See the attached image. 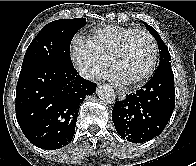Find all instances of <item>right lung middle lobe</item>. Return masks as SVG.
Returning a JSON list of instances; mask_svg holds the SVG:
<instances>
[{
    "label": "right lung middle lobe",
    "mask_w": 196,
    "mask_h": 166,
    "mask_svg": "<svg viewBox=\"0 0 196 166\" xmlns=\"http://www.w3.org/2000/svg\"><path fill=\"white\" fill-rule=\"evenodd\" d=\"M85 24V18L55 20L46 24L30 43L22 66L37 60H54L73 65L70 58L71 40Z\"/></svg>",
    "instance_id": "dd1d6c3e"
}]
</instances>
